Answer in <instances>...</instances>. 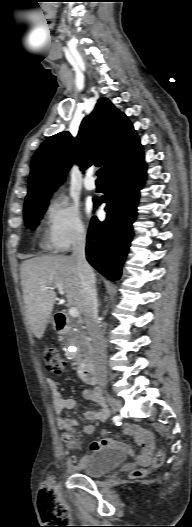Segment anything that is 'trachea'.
<instances>
[{"label":"trachea","instance_id":"3493384b","mask_svg":"<svg viewBox=\"0 0 192 527\" xmlns=\"http://www.w3.org/2000/svg\"><path fill=\"white\" fill-rule=\"evenodd\" d=\"M97 176H98V179H97L98 181L103 180V175H102V170H101V169L98 170V172H97Z\"/></svg>","mask_w":192,"mask_h":527}]
</instances>
